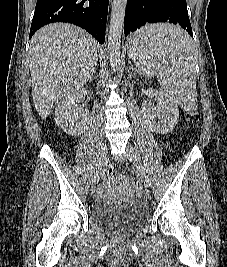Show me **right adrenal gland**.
I'll return each mask as SVG.
<instances>
[{"label":"right adrenal gland","instance_id":"right-adrenal-gland-1","mask_svg":"<svg viewBox=\"0 0 227 267\" xmlns=\"http://www.w3.org/2000/svg\"><path fill=\"white\" fill-rule=\"evenodd\" d=\"M96 66H97V63H95V65H94V67H93V69L91 71V74H90V76L88 78L89 81L92 80L93 75L96 73Z\"/></svg>","mask_w":227,"mask_h":267}]
</instances>
